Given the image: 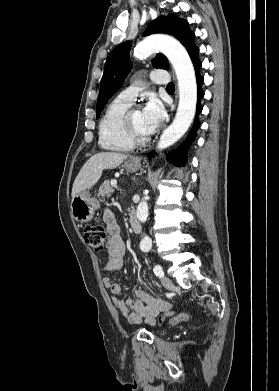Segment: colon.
<instances>
[{
    "label": "colon",
    "instance_id": "colon-1",
    "mask_svg": "<svg viewBox=\"0 0 279 391\" xmlns=\"http://www.w3.org/2000/svg\"><path fill=\"white\" fill-rule=\"evenodd\" d=\"M83 236L86 243L95 251L100 252L104 249L107 240V231L100 225H88L83 230ZM192 319L190 314L182 313L172 317L169 322L171 324L189 321Z\"/></svg>",
    "mask_w": 279,
    "mask_h": 391
}]
</instances>
